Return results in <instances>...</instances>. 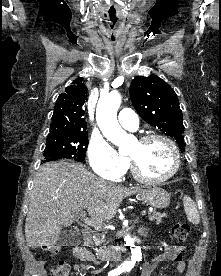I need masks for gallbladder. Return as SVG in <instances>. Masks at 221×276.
<instances>
[{"instance_id":"bac80fb5","label":"gallbladder","mask_w":221,"mask_h":276,"mask_svg":"<svg viewBox=\"0 0 221 276\" xmlns=\"http://www.w3.org/2000/svg\"><path fill=\"white\" fill-rule=\"evenodd\" d=\"M79 235L75 231H61L58 244L61 246H72L78 241Z\"/></svg>"}]
</instances>
